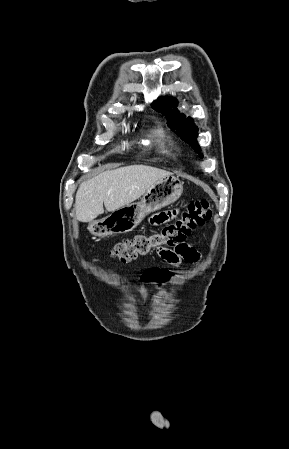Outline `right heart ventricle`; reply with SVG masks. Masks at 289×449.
<instances>
[{"label":"right heart ventricle","mask_w":289,"mask_h":449,"mask_svg":"<svg viewBox=\"0 0 289 449\" xmlns=\"http://www.w3.org/2000/svg\"><path fill=\"white\" fill-rule=\"evenodd\" d=\"M154 133L157 136H159V137H164V131L161 130V129L155 130ZM161 149H162V152H165V153H169L170 152V149L166 145H164L163 143L161 144Z\"/></svg>","instance_id":"right-heart-ventricle-1"}]
</instances>
